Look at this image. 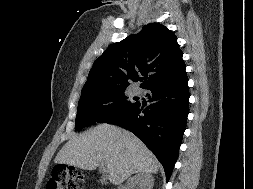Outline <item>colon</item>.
<instances>
[{
	"mask_svg": "<svg viewBox=\"0 0 253 189\" xmlns=\"http://www.w3.org/2000/svg\"><path fill=\"white\" fill-rule=\"evenodd\" d=\"M79 178L80 174L76 169L59 165L54 168L47 189H79L77 182Z\"/></svg>",
	"mask_w": 253,
	"mask_h": 189,
	"instance_id": "1",
	"label": "colon"
}]
</instances>
